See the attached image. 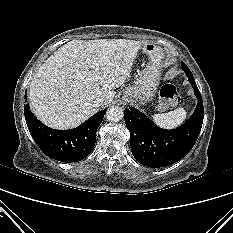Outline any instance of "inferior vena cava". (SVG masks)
I'll use <instances>...</instances> for the list:
<instances>
[{"instance_id":"1","label":"inferior vena cava","mask_w":233,"mask_h":233,"mask_svg":"<svg viewBox=\"0 0 233 233\" xmlns=\"http://www.w3.org/2000/svg\"><path fill=\"white\" fill-rule=\"evenodd\" d=\"M103 102H104L103 98L97 97V98L94 99L93 105H94V107H100V106L103 105Z\"/></svg>"}]
</instances>
